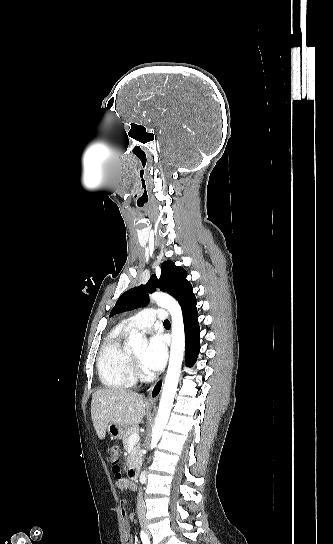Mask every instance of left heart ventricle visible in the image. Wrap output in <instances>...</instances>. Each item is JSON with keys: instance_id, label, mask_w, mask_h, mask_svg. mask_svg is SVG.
Instances as JSON below:
<instances>
[{"instance_id": "1", "label": "left heart ventricle", "mask_w": 333, "mask_h": 544, "mask_svg": "<svg viewBox=\"0 0 333 544\" xmlns=\"http://www.w3.org/2000/svg\"><path fill=\"white\" fill-rule=\"evenodd\" d=\"M144 352H145L144 349H139V350H135V351H134V354L137 356V358H138L139 360H141V359H142V356H143V354H144Z\"/></svg>"}]
</instances>
